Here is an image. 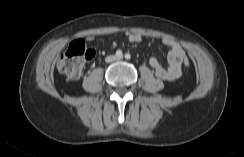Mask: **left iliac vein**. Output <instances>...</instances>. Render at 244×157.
I'll return each instance as SVG.
<instances>
[{
    "label": "left iliac vein",
    "mask_w": 244,
    "mask_h": 157,
    "mask_svg": "<svg viewBox=\"0 0 244 157\" xmlns=\"http://www.w3.org/2000/svg\"><path fill=\"white\" fill-rule=\"evenodd\" d=\"M122 59H123L122 56H120V57H116V60H122Z\"/></svg>",
    "instance_id": "left-iliac-vein-1"
}]
</instances>
